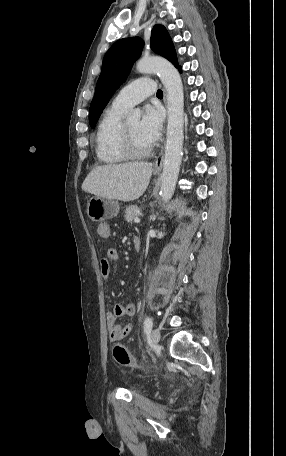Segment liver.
<instances>
[{"mask_svg": "<svg viewBox=\"0 0 286 456\" xmlns=\"http://www.w3.org/2000/svg\"><path fill=\"white\" fill-rule=\"evenodd\" d=\"M151 176L152 164L147 162L101 165L87 175L82 190L96 197L133 201L146 191Z\"/></svg>", "mask_w": 286, "mask_h": 456, "instance_id": "obj_1", "label": "liver"}]
</instances>
